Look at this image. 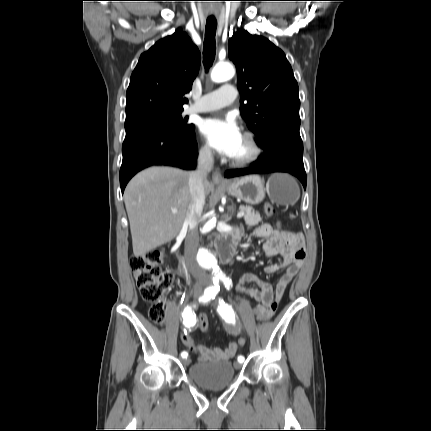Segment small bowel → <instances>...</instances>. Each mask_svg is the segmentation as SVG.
Returning <instances> with one entry per match:
<instances>
[{"label": "small bowel", "mask_w": 431, "mask_h": 431, "mask_svg": "<svg viewBox=\"0 0 431 431\" xmlns=\"http://www.w3.org/2000/svg\"><path fill=\"white\" fill-rule=\"evenodd\" d=\"M253 234L256 237L267 239L264 245L266 256L271 257L277 254L282 256L280 263L267 266L265 272L274 274L285 269L275 288L251 273L244 274L239 280L238 290L258 302L256 306L257 310L260 311L258 319L266 320L272 317L277 310L285 289L302 266L306 254L303 239L299 234L279 231L270 224L258 226ZM247 284H255V287H247ZM237 344L238 342L236 341L226 348H220L206 347L196 343L191 352L200 362L229 360L240 349Z\"/></svg>", "instance_id": "1"}]
</instances>
